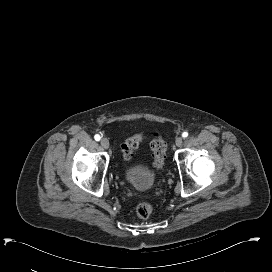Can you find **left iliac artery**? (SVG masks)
<instances>
[{
  "mask_svg": "<svg viewBox=\"0 0 272 272\" xmlns=\"http://www.w3.org/2000/svg\"><path fill=\"white\" fill-rule=\"evenodd\" d=\"M187 136H188V132H183V133H182V137H183V138H186Z\"/></svg>",
  "mask_w": 272,
  "mask_h": 272,
  "instance_id": "left-iliac-artery-1",
  "label": "left iliac artery"
}]
</instances>
